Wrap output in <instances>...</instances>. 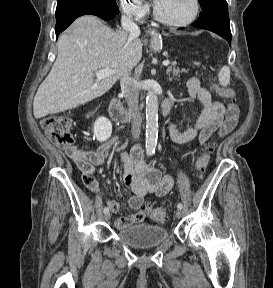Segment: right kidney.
Here are the masks:
<instances>
[{"mask_svg":"<svg viewBox=\"0 0 273 288\" xmlns=\"http://www.w3.org/2000/svg\"><path fill=\"white\" fill-rule=\"evenodd\" d=\"M112 124L106 117H99L94 123V135L99 142H104L111 137Z\"/></svg>","mask_w":273,"mask_h":288,"instance_id":"obj_1","label":"right kidney"}]
</instances>
